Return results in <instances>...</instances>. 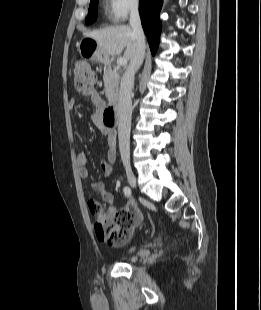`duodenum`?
I'll return each instance as SVG.
<instances>
[{"mask_svg": "<svg viewBox=\"0 0 261 310\" xmlns=\"http://www.w3.org/2000/svg\"><path fill=\"white\" fill-rule=\"evenodd\" d=\"M118 110L116 105L111 102L103 110L102 122L108 128H114L117 124Z\"/></svg>", "mask_w": 261, "mask_h": 310, "instance_id": "410a0bca", "label": "duodenum"}]
</instances>
